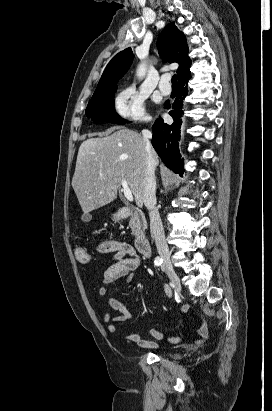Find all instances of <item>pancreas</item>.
<instances>
[{
    "label": "pancreas",
    "instance_id": "1",
    "mask_svg": "<svg viewBox=\"0 0 272 411\" xmlns=\"http://www.w3.org/2000/svg\"><path fill=\"white\" fill-rule=\"evenodd\" d=\"M129 227L132 230V234L135 236L144 233L147 228V222L144 214L141 211H135L129 221Z\"/></svg>",
    "mask_w": 272,
    "mask_h": 411
}]
</instances>
